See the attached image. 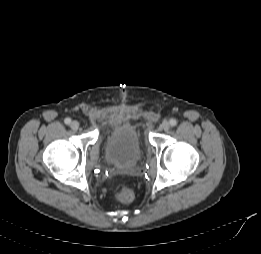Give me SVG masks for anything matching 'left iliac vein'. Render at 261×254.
Segmentation results:
<instances>
[{
  "instance_id": "left-iliac-vein-1",
  "label": "left iliac vein",
  "mask_w": 261,
  "mask_h": 254,
  "mask_svg": "<svg viewBox=\"0 0 261 254\" xmlns=\"http://www.w3.org/2000/svg\"><path fill=\"white\" fill-rule=\"evenodd\" d=\"M161 128L164 130V131H167L170 129V123L168 121H163L162 124H161Z\"/></svg>"
}]
</instances>
